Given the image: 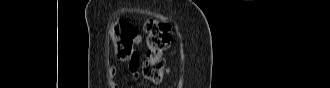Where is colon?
Segmentation results:
<instances>
[{
	"label": "colon",
	"instance_id": "5ec220e1",
	"mask_svg": "<svg viewBox=\"0 0 330 88\" xmlns=\"http://www.w3.org/2000/svg\"><path fill=\"white\" fill-rule=\"evenodd\" d=\"M170 29L168 23L153 18L148 19L144 24L146 59L142 63L141 73L145 80L154 84L161 83L167 74L162 55L171 44ZM136 34H138L136 29L124 19L117 20L112 25L110 37L118 58L129 60L135 55L133 40Z\"/></svg>",
	"mask_w": 330,
	"mask_h": 88
}]
</instances>
